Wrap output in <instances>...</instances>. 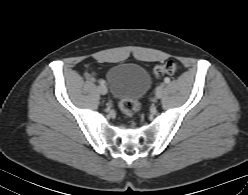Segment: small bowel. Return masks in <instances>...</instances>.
Masks as SVG:
<instances>
[{
  "instance_id": "small-bowel-1",
  "label": "small bowel",
  "mask_w": 248,
  "mask_h": 195,
  "mask_svg": "<svg viewBox=\"0 0 248 195\" xmlns=\"http://www.w3.org/2000/svg\"><path fill=\"white\" fill-rule=\"evenodd\" d=\"M86 77L88 80H94L95 79V74L92 71H89L86 73Z\"/></svg>"
}]
</instances>
